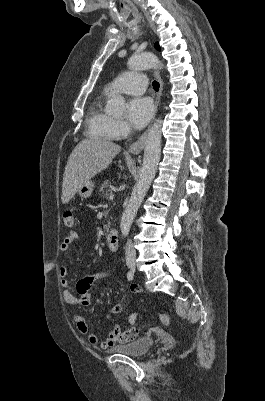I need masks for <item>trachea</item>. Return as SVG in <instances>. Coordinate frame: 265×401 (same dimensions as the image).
Segmentation results:
<instances>
[{"label":"trachea","instance_id":"3493384b","mask_svg":"<svg viewBox=\"0 0 265 401\" xmlns=\"http://www.w3.org/2000/svg\"><path fill=\"white\" fill-rule=\"evenodd\" d=\"M152 86L156 92L159 90V83L158 81H153Z\"/></svg>","mask_w":265,"mask_h":401}]
</instances>
